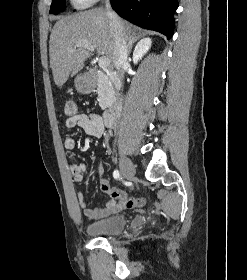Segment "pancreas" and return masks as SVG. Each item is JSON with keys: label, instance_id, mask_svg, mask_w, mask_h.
Segmentation results:
<instances>
[{"label": "pancreas", "instance_id": "cf45deb5", "mask_svg": "<svg viewBox=\"0 0 247 280\" xmlns=\"http://www.w3.org/2000/svg\"><path fill=\"white\" fill-rule=\"evenodd\" d=\"M98 102L102 109L109 107L115 98V83L104 73H98L97 90Z\"/></svg>", "mask_w": 247, "mask_h": 280}]
</instances>
